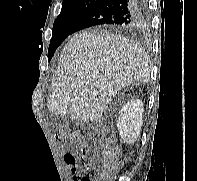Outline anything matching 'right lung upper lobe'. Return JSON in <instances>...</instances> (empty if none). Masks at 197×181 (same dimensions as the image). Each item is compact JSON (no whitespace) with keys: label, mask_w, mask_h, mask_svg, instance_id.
<instances>
[{"label":"right lung upper lobe","mask_w":197,"mask_h":181,"mask_svg":"<svg viewBox=\"0 0 197 181\" xmlns=\"http://www.w3.org/2000/svg\"><path fill=\"white\" fill-rule=\"evenodd\" d=\"M99 1L100 0H63L62 10H69V9H73L78 6H84V5L91 7ZM135 27H138V26H126L124 28H119V29L124 30V31H131Z\"/></svg>","instance_id":"right-lung-upper-lobe-1"}]
</instances>
